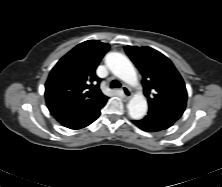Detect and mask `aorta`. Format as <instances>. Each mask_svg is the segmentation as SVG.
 <instances>
[{"instance_id": "obj_1", "label": "aorta", "mask_w": 222, "mask_h": 187, "mask_svg": "<svg viewBox=\"0 0 222 187\" xmlns=\"http://www.w3.org/2000/svg\"><path fill=\"white\" fill-rule=\"evenodd\" d=\"M108 69L119 79L132 87H138V76L131 61L119 52H109L105 56ZM148 104L145 96L139 91L129 101V115L132 119L140 120L147 112Z\"/></svg>"}]
</instances>
